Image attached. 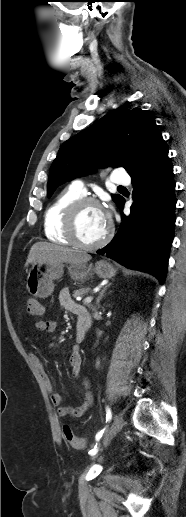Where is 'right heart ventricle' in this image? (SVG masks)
Instances as JSON below:
<instances>
[{
  "mask_svg": "<svg viewBox=\"0 0 186 517\" xmlns=\"http://www.w3.org/2000/svg\"><path fill=\"white\" fill-rule=\"evenodd\" d=\"M82 196V193L69 186L49 204L44 214V233L48 240L60 244L72 243L65 232V214L68 207Z\"/></svg>",
  "mask_w": 186,
  "mask_h": 517,
  "instance_id": "1",
  "label": "right heart ventricle"
}]
</instances>
